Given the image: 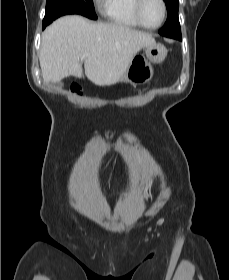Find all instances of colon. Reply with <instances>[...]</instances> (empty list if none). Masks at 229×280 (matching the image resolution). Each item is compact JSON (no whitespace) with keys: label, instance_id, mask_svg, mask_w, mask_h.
<instances>
[{"label":"colon","instance_id":"colon-1","mask_svg":"<svg viewBox=\"0 0 229 280\" xmlns=\"http://www.w3.org/2000/svg\"><path fill=\"white\" fill-rule=\"evenodd\" d=\"M72 91L76 94H82L83 90H82V87L80 85L75 84V85L72 86Z\"/></svg>","mask_w":229,"mask_h":280}]
</instances>
